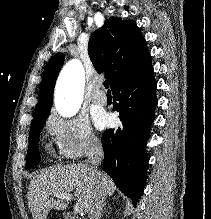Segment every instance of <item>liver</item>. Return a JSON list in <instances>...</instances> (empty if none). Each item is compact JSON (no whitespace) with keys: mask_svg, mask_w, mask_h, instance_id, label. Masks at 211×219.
I'll return each mask as SVG.
<instances>
[{"mask_svg":"<svg viewBox=\"0 0 211 219\" xmlns=\"http://www.w3.org/2000/svg\"><path fill=\"white\" fill-rule=\"evenodd\" d=\"M98 187L105 196H112L116 190L107 174L99 171V175H94L88 165L57 166L31 180L27 193L28 207L34 219H46L52 208L63 210L67 206L63 199L54 200L50 196L75 191L77 204L88 212Z\"/></svg>","mask_w":211,"mask_h":219,"instance_id":"obj_1","label":"liver"}]
</instances>
